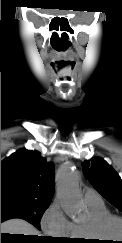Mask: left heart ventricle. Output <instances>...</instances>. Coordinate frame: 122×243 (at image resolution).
Listing matches in <instances>:
<instances>
[{
  "mask_svg": "<svg viewBox=\"0 0 122 243\" xmlns=\"http://www.w3.org/2000/svg\"><path fill=\"white\" fill-rule=\"evenodd\" d=\"M104 235L106 237L122 238V224L117 221L111 222L105 228Z\"/></svg>",
  "mask_w": 122,
  "mask_h": 243,
  "instance_id": "b2bd125f",
  "label": "left heart ventricle"
}]
</instances>
